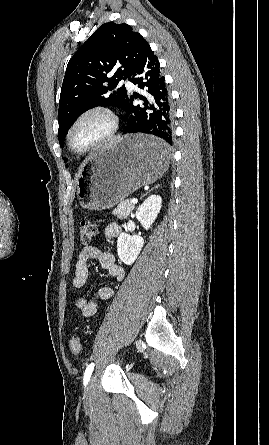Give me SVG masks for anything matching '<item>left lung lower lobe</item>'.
<instances>
[{
	"label": "left lung lower lobe",
	"instance_id": "obj_1",
	"mask_svg": "<svg viewBox=\"0 0 269 445\" xmlns=\"http://www.w3.org/2000/svg\"><path fill=\"white\" fill-rule=\"evenodd\" d=\"M129 81L143 91L127 97L123 110L129 119L123 134L154 135L156 141L145 144V152L152 156L170 154L174 137V110L165 78L160 74V63L150 46L143 53ZM133 97L143 100V104L133 105Z\"/></svg>",
	"mask_w": 269,
	"mask_h": 445
}]
</instances>
